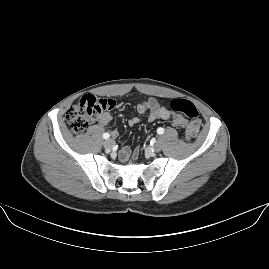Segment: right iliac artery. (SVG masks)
<instances>
[{"mask_svg":"<svg viewBox=\"0 0 269 269\" xmlns=\"http://www.w3.org/2000/svg\"><path fill=\"white\" fill-rule=\"evenodd\" d=\"M109 137H110V135H109L108 133H104V134H103V138H104V139H108Z\"/></svg>","mask_w":269,"mask_h":269,"instance_id":"1","label":"right iliac artery"}]
</instances>
